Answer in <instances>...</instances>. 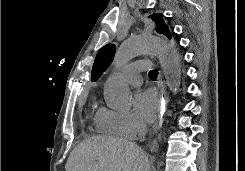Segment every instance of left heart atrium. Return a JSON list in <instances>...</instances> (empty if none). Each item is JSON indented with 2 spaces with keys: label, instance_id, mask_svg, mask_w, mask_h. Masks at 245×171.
<instances>
[{
  "label": "left heart atrium",
  "instance_id": "left-heart-atrium-1",
  "mask_svg": "<svg viewBox=\"0 0 245 171\" xmlns=\"http://www.w3.org/2000/svg\"><path fill=\"white\" fill-rule=\"evenodd\" d=\"M160 109V99L153 89H143L136 92L134 110L137 116L147 122L155 119Z\"/></svg>",
  "mask_w": 245,
  "mask_h": 171
}]
</instances>
